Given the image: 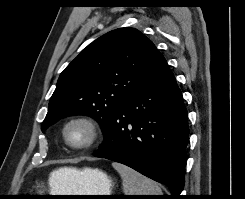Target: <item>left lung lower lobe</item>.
<instances>
[{"label": "left lung lower lobe", "mask_w": 245, "mask_h": 199, "mask_svg": "<svg viewBox=\"0 0 245 199\" xmlns=\"http://www.w3.org/2000/svg\"><path fill=\"white\" fill-rule=\"evenodd\" d=\"M103 133L96 157L122 163L165 184L172 199H179L189 128L181 91L164 58L114 110Z\"/></svg>", "instance_id": "1"}]
</instances>
